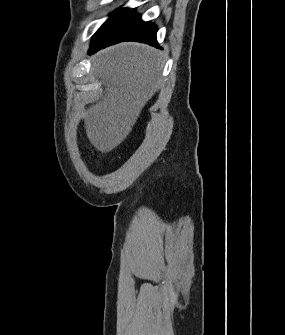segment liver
I'll return each mask as SVG.
<instances>
[{"instance_id":"1","label":"liver","mask_w":285,"mask_h":335,"mask_svg":"<svg viewBox=\"0 0 285 335\" xmlns=\"http://www.w3.org/2000/svg\"><path fill=\"white\" fill-rule=\"evenodd\" d=\"M94 60L105 96L87 110L85 128L92 146L104 154L130 134L142 108L162 84L163 66L155 48L134 42L107 48Z\"/></svg>"}]
</instances>
